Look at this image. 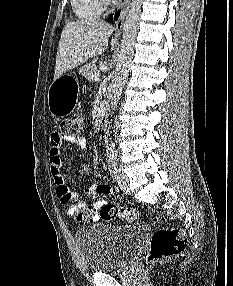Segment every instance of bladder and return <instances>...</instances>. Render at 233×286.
<instances>
[{"mask_svg":"<svg viewBox=\"0 0 233 286\" xmlns=\"http://www.w3.org/2000/svg\"><path fill=\"white\" fill-rule=\"evenodd\" d=\"M146 233L142 224L119 227L93 224L76 232V241L91 272H112L125 268Z\"/></svg>","mask_w":233,"mask_h":286,"instance_id":"31cf9c89","label":"bladder"}]
</instances>
